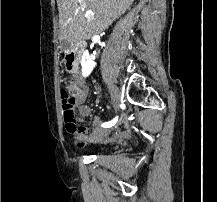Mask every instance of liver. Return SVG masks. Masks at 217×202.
I'll list each match as a JSON object with an SVG mask.
<instances>
[{"label":"liver","mask_w":217,"mask_h":202,"mask_svg":"<svg viewBox=\"0 0 217 202\" xmlns=\"http://www.w3.org/2000/svg\"><path fill=\"white\" fill-rule=\"evenodd\" d=\"M134 0H57L61 40L83 42L101 34Z\"/></svg>","instance_id":"1"}]
</instances>
